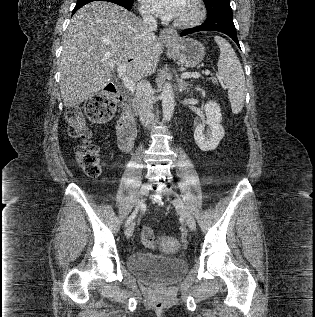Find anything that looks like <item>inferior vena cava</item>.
Masks as SVG:
<instances>
[{"label":"inferior vena cava","instance_id":"602c4592","mask_svg":"<svg viewBox=\"0 0 315 317\" xmlns=\"http://www.w3.org/2000/svg\"><path fill=\"white\" fill-rule=\"evenodd\" d=\"M143 22L147 27V32L149 35L153 34L157 29V23L155 18L151 13L142 12ZM136 93H135V103L137 111L141 120V123L145 127H150L153 124V102H152V87L150 83L140 78L138 80Z\"/></svg>","mask_w":315,"mask_h":317}]
</instances>
